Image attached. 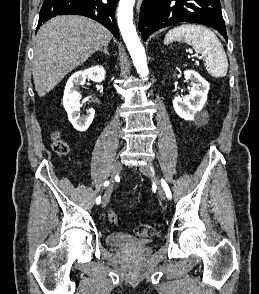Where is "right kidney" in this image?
<instances>
[{
    "instance_id": "obj_1",
    "label": "right kidney",
    "mask_w": 259,
    "mask_h": 294,
    "mask_svg": "<svg viewBox=\"0 0 259 294\" xmlns=\"http://www.w3.org/2000/svg\"><path fill=\"white\" fill-rule=\"evenodd\" d=\"M89 78L93 82L100 83L105 79V70L102 66H94L84 71H77L67 81L63 106L68 114V119L78 131H86L93 121L95 111L93 108L87 111L86 116H80V93L78 86L83 85Z\"/></svg>"
}]
</instances>
